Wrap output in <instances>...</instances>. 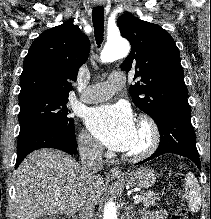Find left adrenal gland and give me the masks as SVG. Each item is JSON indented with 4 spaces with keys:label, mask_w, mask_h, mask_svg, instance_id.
<instances>
[{
    "label": "left adrenal gland",
    "mask_w": 211,
    "mask_h": 219,
    "mask_svg": "<svg viewBox=\"0 0 211 219\" xmlns=\"http://www.w3.org/2000/svg\"><path fill=\"white\" fill-rule=\"evenodd\" d=\"M125 210H126L125 215L127 219H136L135 216L137 214V211L133 210L132 205H128Z\"/></svg>",
    "instance_id": "obj_1"
}]
</instances>
